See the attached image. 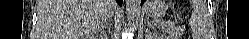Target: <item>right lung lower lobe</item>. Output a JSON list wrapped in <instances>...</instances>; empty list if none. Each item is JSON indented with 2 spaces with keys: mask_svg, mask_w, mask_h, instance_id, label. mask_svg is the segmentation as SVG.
Segmentation results:
<instances>
[{
  "mask_svg": "<svg viewBox=\"0 0 249 39\" xmlns=\"http://www.w3.org/2000/svg\"><path fill=\"white\" fill-rule=\"evenodd\" d=\"M118 2V4L121 6L122 5V2L123 0H116Z\"/></svg>",
  "mask_w": 249,
  "mask_h": 39,
  "instance_id": "1",
  "label": "right lung lower lobe"
}]
</instances>
